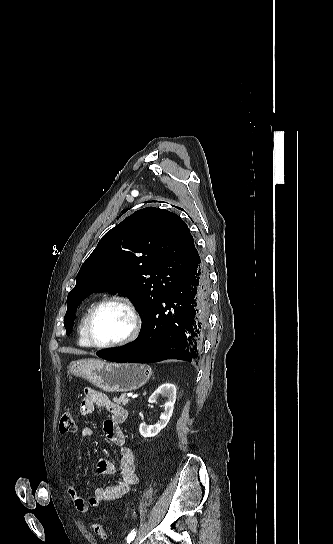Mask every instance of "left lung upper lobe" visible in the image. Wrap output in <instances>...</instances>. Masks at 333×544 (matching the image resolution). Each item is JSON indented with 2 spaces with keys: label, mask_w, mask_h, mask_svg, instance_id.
I'll return each instance as SVG.
<instances>
[{
  "label": "left lung upper lobe",
  "mask_w": 333,
  "mask_h": 544,
  "mask_svg": "<svg viewBox=\"0 0 333 544\" xmlns=\"http://www.w3.org/2000/svg\"><path fill=\"white\" fill-rule=\"evenodd\" d=\"M200 260L188 226L178 215L153 207L136 211L108 231L81 266L67 297V334L77 306L93 292L128 293L145 319Z\"/></svg>",
  "instance_id": "obj_1"
}]
</instances>
